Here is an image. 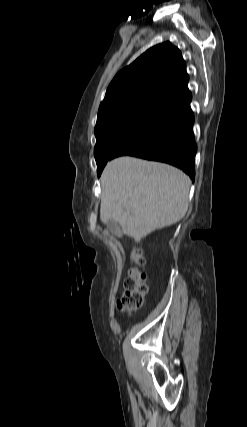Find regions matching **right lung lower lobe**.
<instances>
[{"instance_id": "right-lung-lower-lobe-1", "label": "right lung lower lobe", "mask_w": 247, "mask_h": 427, "mask_svg": "<svg viewBox=\"0 0 247 427\" xmlns=\"http://www.w3.org/2000/svg\"><path fill=\"white\" fill-rule=\"evenodd\" d=\"M186 90L154 109L115 149L110 159L131 155L182 169L194 181V117Z\"/></svg>"}]
</instances>
